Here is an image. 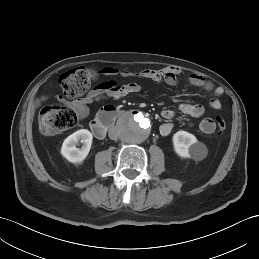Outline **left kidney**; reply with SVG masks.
I'll list each match as a JSON object with an SVG mask.
<instances>
[{
    "instance_id": "left-kidney-1",
    "label": "left kidney",
    "mask_w": 259,
    "mask_h": 259,
    "mask_svg": "<svg viewBox=\"0 0 259 259\" xmlns=\"http://www.w3.org/2000/svg\"><path fill=\"white\" fill-rule=\"evenodd\" d=\"M173 146L182 158H195L198 149L204 147L193 134L186 131H178L173 135Z\"/></svg>"
}]
</instances>
